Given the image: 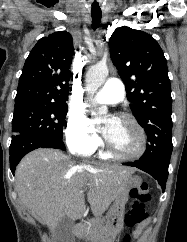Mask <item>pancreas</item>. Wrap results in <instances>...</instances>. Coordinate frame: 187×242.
Segmentation results:
<instances>
[{
	"instance_id": "1",
	"label": "pancreas",
	"mask_w": 187,
	"mask_h": 242,
	"mask_svg": "<svg viewBox=\"0 0 187 242\" xmlns=\"http://www.w3.org/2000/svg\"><path fill=\"white\" fill-rule=\"evenodd\" d=\"M104 223L103 219H91L85 225V234L88 235L91 231V227H99L102 226Z\"/></svg>"
}]
</instances>
